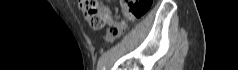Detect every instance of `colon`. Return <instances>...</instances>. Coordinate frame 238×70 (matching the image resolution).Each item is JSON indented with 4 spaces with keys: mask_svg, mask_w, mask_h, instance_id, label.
I'll use <instances>...</instances> for the list:
<instances>
[{
    "mask_svg": "<svg viewBox=\"0 0 238 70\" xmlns=\"http://www.w3.org/2000/svg\"><path fill=\"white\" fill-rule=\"evenodd\" d=\"M151 0H122V10L128 20H136L142 17L150 8ZM79 7L92 28L100 29L108 21L104 9L96 0H79ZM118 28L111 29L112 33H118Z\"/></svg>",
    "mask_w": 238,
    "mask_h": 70,
    "instance_id": "colon-1",
    "label": "colon"
}]
</instances>
